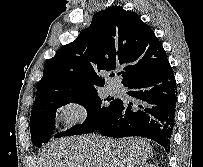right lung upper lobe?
Wrapping results in <instances>:
<instances>
[{
    "label": "right lung upper lobe",
    "instance_id": "1",
    "mask_svg": "<svg viewBox=\"0 0 203 167\" xmlns=\"http://www.w3.org/2000/svg\"><path fill=\"white\" fill-rule=\"evenodd\" d=\"M167 62L161 42L136 13L109 7L46 62L32 110L55 98L97 91L105 83L101 71L121 68L125 85Z\"/></svg>",
    "mask_w": 203,
    "mask_h": 167
}]
</instances>
